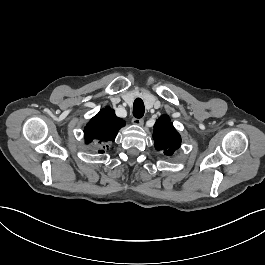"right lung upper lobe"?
<instances>
[{
    "label": "right lung upper lobe",
    "instance_id": "1",
    "mask_svg": "<svg viewBox=\"0 0 265 265\" xmlns=\"http://www.w3.org/2000/svg\"><path fill=\"white\" fill-rule=\"evenodd\" d=\"M123 126H125V121L118 118L113 109L106 107L94 116L84 128L85 143L90 144L93 141L99 144L104 143L108 149V143L114 142L118 131ZM104 152L103 149L99 150V153Z\"/></svg>",
    "mask_w": 265,
    "mask_h": 265
}]
</instances>
